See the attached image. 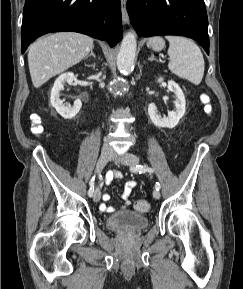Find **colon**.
Returning <instances> with one entry per match:
<instances>
[{"mask_svg": "<svg viewBox=\"0 0 243 289\" xmlns=\"http://www.w3.org/2000/svg\"><path fill=\"white\" fill-rule=\"evenodd\" d=\"M203 101L206 103V110L207 112H210L212 110L211 105L209 104V98L208 96L204 95L203 96ZM30 130L33 134L35 135H40L43 133L44 128L42 125V121L39 115L37 114H32L31 115V126H30ZM134 209L137 212L140 213H145L147 211H149L150 209V204L149 202L145 201V200H137L134 203Z\"/></svg>", "mask_w": 243, "mask_h": 289, "instance_id": "1", "label": "colon"}]
</instances>
